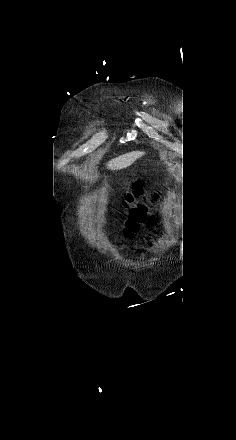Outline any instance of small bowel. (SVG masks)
<instances>
[{"label": "small bowel", "mask_w": 236, "mask_h": 440, "mask_svg": "<svg viewBox=\"0 0 236 440\" xmlns=\"http://www.w3.org/2000/svg\"><path fill=\"white\" fill-rule=\"evenodd\" d=\"M156 225H157V219L155 217H151L147 222V226L150 229H154L156 227ZM154 242H155V240H154L153 236H149L145 239V243L148 246H152L154 244Z\"/></svg>", "instance_id": "small-bowel-1"}]
</instances>
